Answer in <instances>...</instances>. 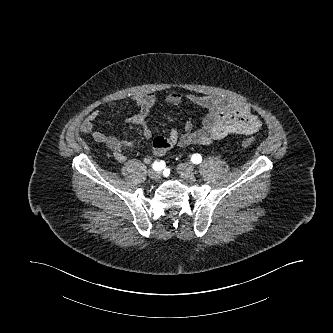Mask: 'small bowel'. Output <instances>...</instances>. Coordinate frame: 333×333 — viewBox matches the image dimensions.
I'll use <instances>...</instances> for the list:
<instances>
[{
  "label": "small bowel",
  "mask_w": 333,
  "mask_h": 333,
  "mask_svg": "<svg viewBox=\"0 0 333 333\" xmlns=\"http://www.w3.org/2000/svg\"><path fill=\"white\" fill-rule=\"evenodd\" d=\"M155 95L153 93L140 94L134 97L138 111L127 118V122L139 125L144 138H151L147 126V118L154 107ZM165 101L174 106H182L190 102L204 112L203 120L197 128L187 119L184 123L183 133L172 128L168 136H157L152 140V151L161 156L175 146L186 147L190 145H209L213 141L223 139L229 135H253L261 127L260 119L253 113L246 103L232 98H221L197 95L193 93L171 92L166 95ZM110 107L116 105L111 102ZM99 117V111L93 110L81 123V129L92 135L95 141L106 145L118 162L126 160L125 151L134 150L136 141H124L115 136L107 135L95 129L94 122Z\"/></svg>",
  "instance_id": "c3829d8e"
}]
</instances>
